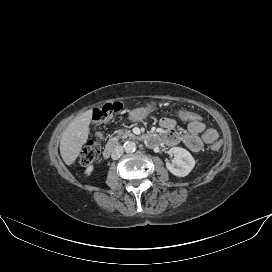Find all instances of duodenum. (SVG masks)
Listing matches in <instances>:
<instances>
[{"label":"duodenum","mask_w":272,"mask_h":272,"mask_svg":"<svg viewBox=\"0 0 272 272\" xmlns=\"http://www.w3.org/2000/svg\"><path fill=\"white\" fill-rule=\"evenodd\" d=\"M145 141L150 146L156 147V146H158V144L160 142V137L157 134H149L145 137ZM116 146H117V141L115 139H111L104 148L103 156L105 158L110 157L111 153L116 148Z\"/></svg>","instance_id":"1"}]
</instances>
